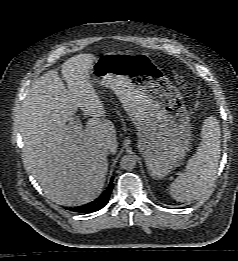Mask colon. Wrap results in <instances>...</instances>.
<instances>
[{
    "label": "colon",
    "mask_w": 238,
    "mask_h": 261,
    "mask_svg": "<svg viewBox=\"0 0 238 261\" xmlns=\"http://www.w3.org/2000/svg\"><path fill=\"white\" fill-rule=\"evenodd\" d=\"M176 81L178 84H180L182 87H185L186 84L181 76H177Z\"/></svg>",
    "instance_id": "5ec220e1"
}]
</instances>
